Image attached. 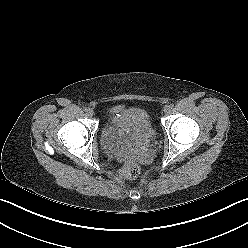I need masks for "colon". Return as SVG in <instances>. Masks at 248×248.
Segmentation results:
<instances>
[{
    "label": "colon",
    "instance_id": "obj_1",
    "mask_svg": "<svg viewBox=\"0 0 248 248\" xmlns=\"http://www.w3.org/2000/svg\"><path fill=\"white\" fill-rule=\"evenodd\" d=\"M119 173L125 179H133L139 175L140 166L133 160H127Z\"/></svg>",
    "mask_w": 248,
    "mask_h": 248
}]
</instances>
